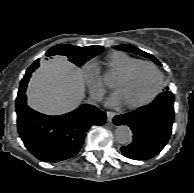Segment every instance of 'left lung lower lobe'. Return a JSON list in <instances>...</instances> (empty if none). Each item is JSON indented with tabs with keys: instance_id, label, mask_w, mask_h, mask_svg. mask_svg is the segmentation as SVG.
I'll return each mask as SVG.
<instances>
[{
	"instance_id": "1",
	"label": "left lung lower lobe",
	"mask_w": 194,
	"mask_h": 193,
	"mask_svg": "<svg viewBox=\"0 0 194 193\" xmlns=\"http://www.w3.org/2000/svg\"><path fill=\"white\" fill-rule=\"evenodd\" d=\"M173 103V94L166 91L152 104L114 117L115 125H128L133 132V141L121 148L124 156L135 160H147L160 153L171 135Z\"/></svg>"
}]
</instances>
